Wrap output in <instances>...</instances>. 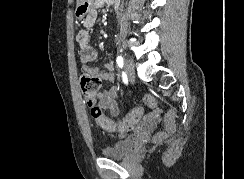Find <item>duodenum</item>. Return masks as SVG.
<instances>
[{"label": "duodenum", "mask_w": 244, "mask_h": 179, "mask_svg": "<svg viewBox=\"0 0 244 179\" xmlns=\"http://www.w3.org/2000/svg\"><path fill=\"white\" fill-rule=\"evenodd\" d=\"M118 13H119V11H115V10H114V14H118Z\"/></svg>", "instance_id": "obj_1"}]
</instances>
